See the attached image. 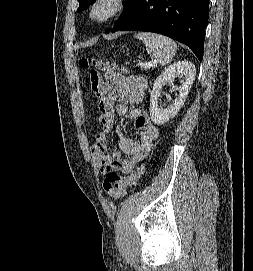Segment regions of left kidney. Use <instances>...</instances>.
<instances>
[{
  "instance_id": "5707ae66",
  "label": "left kidney",
  "mask_w": 253,
  "mask_h": 271,
  "mask_svg": "<svg viewBox=\"0 0 253 271\" xmlns=\"http://www.w3.org/2000/svg\"><path fill=\"white\" fill-rule=\"evenodd\" d=\"M195 75L196 68L193 63L180 61L170 65L159 77H157L151 92L149 108L151 120L154 124H165L178 113L188 96L189 90L194 82ZM177 77L181 78V85L179 87L174 85V80ZM166 84H169L172 87V91L177 92V97L168 107L161 108L158 106V99L160 97L162 86Z\"/></svg>"
}]
</instances>
